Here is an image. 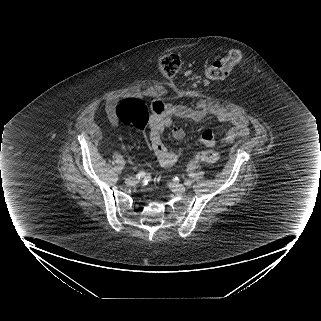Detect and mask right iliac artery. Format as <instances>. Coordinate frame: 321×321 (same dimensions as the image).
<instances>
[{"label":"right iliac artery","mask_w":321,"mask_h":321,"mask_svg":"<svg viewBox=\"0 0 321 321\" xmlns=\"http://www.w3.org/2000/svg\"><path fill=\"white\" fill-rule=\"evenodd\" d=\"M138 176L140 177V176H141V173H140V174H138Z\"/></svg>","instance_id":"1"}]
</instances>
